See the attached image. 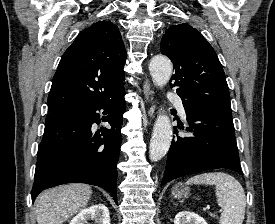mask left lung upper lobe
<instances>
[{
    "label": "left lung upper lobe",
    "mask_w": 275,
    "mask_h": 224,
    "mask_svg": "<svg viewBox=\"0 0 275 224\" xmlns=\"http://www.w3.org/2000/svg\"><path fill=\"white\" fill-rule=\"evenodd\" d=\"M160 45L161 53L168 56L175 68L170 85L185 104L232 116L222 65L199 31L187 23L170 26Z\"/></svg>",
    "instance_id": "1"
}]
</instances>
